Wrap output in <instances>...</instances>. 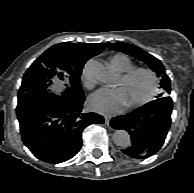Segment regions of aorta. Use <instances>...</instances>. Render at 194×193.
<instances>
[{"label": "aorta", "instance_id": "obj_1", "mask_svg": "<svg viewBox=\"0 0 194 193\" xmlns=\"http://www.w3.org/2000/svg\"><path fill=\"white\" fill-rule=\"evenodd\" d=\"M87 74L102 83L109 84L114 80L113 72L102 63L91 60L86 65ZM113 142L120 147H127L130 145V135L125 130H117L113 134Z\"/></svg>", "mask_w": 194, "mask_h": 193}]
</instances>
